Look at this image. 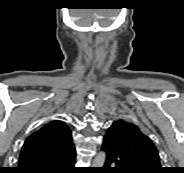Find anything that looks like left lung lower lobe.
<instances>
[{"label":"left lung lower lobe","mask_w":184,"mask_h":173,"mask_svg":"<svg viewBox=\"0 0 184 173\" xmlns=\"http://www.w3.org/2000/svg\"><path fill=\"white\" fill-rule=\"evenodd\" d=\"M102 149L106 152V162L105 166L100 168V173H134L106 139L103 140Z\"/></svg>","instance_id":"obj_1"}]
</instances>
